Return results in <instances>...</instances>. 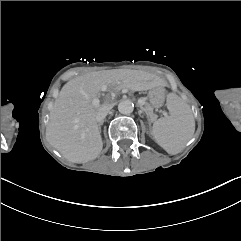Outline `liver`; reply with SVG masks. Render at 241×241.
<instances>
[{"label":"liver","mask_w":241,"mask_h":241,"mask_svg":"<svg viewBox=\"0 0 241 241\" xmlns=\"http://www.w3.org/2000/svg\"><path fill=\"white\" fill-rule=\"evenodd\" d=\"M138 71L105 70L87 73L68 81L61 89L50 112L46 139L63 157L73 163H86L97 158L103 142L96 121L101 110L112 108L105 102L96 105L100 91L129 88L141 91L155 87L149 75L136 76ZM147 84L142 87L141 84Z\"/></svg>","instance_id":"6515ba94"}]
</instances>
